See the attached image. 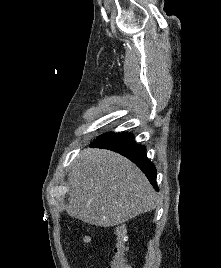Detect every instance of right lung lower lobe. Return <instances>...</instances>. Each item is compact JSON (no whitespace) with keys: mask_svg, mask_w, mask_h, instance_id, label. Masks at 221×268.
Here are the masks:
<instances>
[{"mask_svg":"<svg viewBox=\"0 0 221 268\" xmlns=\"http://www.w3.org/2000/svg\"><path fill=\"white\" fill-rule=\"evenodd\" d=\"M92 147L110 149L124 155L132 162H134L147 176L150 183L156 190H158L156 183V169L155 166L146 156V148L142 145H137L133 142L131 134H115L112 132L105 133L97 138Z\"/></svg>","mask_w":221,"mask_h":268,"instance_id":"right-lung-lower-lobe-1","label":"right lung lower lobe"}]
</instances>
